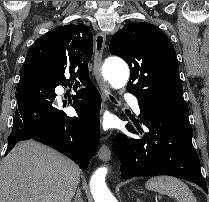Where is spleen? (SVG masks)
Wrapping results in <instances>:
<instances>
[{
	"label": "spleen",
	"instance_id": "1",
	"mask_svg": "<svg viewBox=\"0 0 209 202\" xmlns=\"http://www.w3.org/2000/svg\"><path fill=\"white\" fill-rule=\"evenodd\" d=\"M146 189L166 194L178 202H196L190 188L180 179L170 176L152 177L145 184Z\"/></svg>",
	"mask_w": 209,
	"mask_h": 202
}]
</instances>
